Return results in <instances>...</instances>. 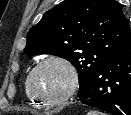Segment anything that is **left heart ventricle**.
<instances>
[{"label":"left heart ventricle","instance_id":"1","mask_svg":"<svg viewBox=\"0 0 131 115\" xmlns=\"http://www.w3.org/2000/svg\"><path fill=\"white\" fill-rule=\"evenodd\" d=\"M69 84L67 70L56 63L41 67L33 77V88L36 93L44 98L60 96Z\"/></svg>","mask_w":131,"mask_h":115}]
</instances>
